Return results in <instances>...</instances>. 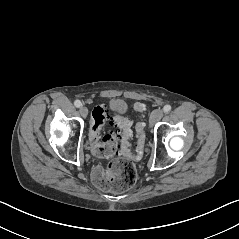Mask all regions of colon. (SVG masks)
<instances>
[{
  "label": "colon",
  "instance_id": "obj_1",
  "mask_svg": "<svg viewBox=\"0 0 239 239\" xmlns=\"http://www.w3.org/2000/svg\"><path fill=\"white\" fill-rule=\"evenodd\" d=\"M135 110L144 112L146 105L136 103ZM107 124L118 127L116 132L101 135ZM145 124L139 122L135 126L136 149L134 153L129 150V139L132 132L130 124L121 115L111 117L102 105L96 106L91 114L89 141L92 152L100 157H110L106 166L94 169L92 179L94 184L106 192L120 193L130 189L136 182L137 172L131 159L142 156L145 144Z\"/></svg>",
  "mask_w": 239,
  "mask_h": 239
}]
</instances>
